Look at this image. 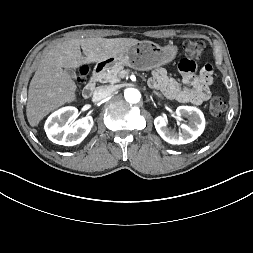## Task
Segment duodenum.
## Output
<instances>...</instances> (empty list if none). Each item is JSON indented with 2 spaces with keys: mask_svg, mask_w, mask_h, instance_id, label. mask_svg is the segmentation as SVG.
Returning <instances> with one entry per match:
<instances>
[{
  "mask_svg": "<svg viewBox=\"0 0 253 253\" xmlns=\"http://www.w3.org/2000/svg\"><path fill=\"white\" fill-rule=\"evenodd\" d=\"M103 70H104V67L99 65L93 71V74H92L90 80L85 85V87L83 88V91H82V96L85 99H88L91 97L93 91L96 88L97 82L99 81V79L101 78V76L103 74Z\"/></svg>",
  "mask_w": 253,
  "mask_h": 253,
  "instance_id": "1",
  "label": "duodenum"
}]
</instances>
